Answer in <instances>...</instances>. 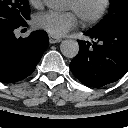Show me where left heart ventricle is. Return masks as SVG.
<instances>
[{"label": "left heart ventricle", "instance_id": "1", "mask_svg": "<svg viewBox=\"0 0 128 128\" xmlns=\"http://www.w3.org/2000/svg\"><path fill=\"white\" fill-rule=\"evenodd\" d=\"M100 4L101 0H84L79 6L75 7L70 0L68 8L73 10L78 17H88L98 10Z\"/></svg>", "mask_w": 128, "mask_h": 128}]
</instances>
